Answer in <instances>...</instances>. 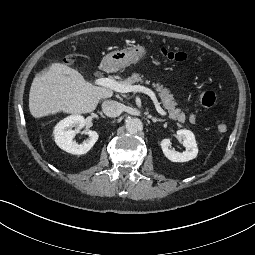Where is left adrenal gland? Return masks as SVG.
<instances>
[{
    "label": "left adrenal gland",
    "instance_id": "1",
    "mask_svg": "<svg viewBox=\"0 0 255 255\" xmlns=\"http://www.w3.org/2000/svg\"><path fill=\"white\" fill-rule=\"evenodd\" d=\"M150 118L152 119V121H153L154 123H156V122H164V121H166V120H164V119H158V118L153 117V116H150Z\"/></svg>",
    "mask_w": 255,
    "mask_h": 255
}]
</instances>
